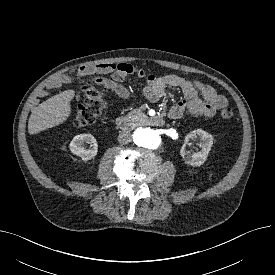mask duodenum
I'll return each instance as SVG.
<instances>
[{
    "instance_id": "1",
    "label": "duodenum",
    "mask_w": 275,
    "mask_h": 275,
    "mask_svg": "<svg viewBox=\"0 0 275 275\" xmlns=\"http://www.w3.org/2000/svg\"><path fill=\"white\" fill-rule=\"evenodd\" d=\"M146 122L151 126L161 127L165 124V120L162 117H151L146 119ZM133 120L127 116H120L116 119V126L121 130H125L131 126Z\"/></svg>"
}]
</instances>
